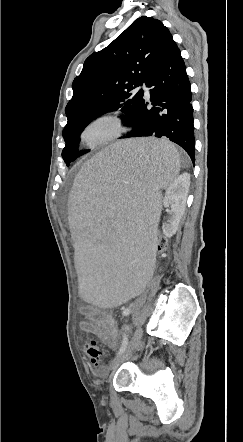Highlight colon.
<instances>
[{"label": "colon", "instance_id": "colon-1", "mask_svg": "<svg viewBox=\"0 0 243 442\" xmlns=\"http://www.w3.org/2000/svg\"><path fill=\"white\" fill-rule=\"evenodd\" d=\"M154 234L157 236V252L160 254L166 253L168 238L165 234L164 228L162 226H159L154 231ZM82 349L94 365L103 366L105 351L100 348L97 340H95L94 338L84 340Z\"/></svg>", "mask_w": 243, "mask_h": 442}]
</instances>
